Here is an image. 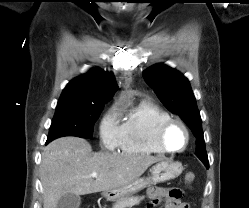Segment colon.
I'll list each match as a JSON object with an SVG mask.
<instances>
[{
  "instance_id": "1",
  "label": "colon",
  "mask_w": 249,
  "mask_h": 208,
  "mask_svg": "<svg viewBox=\"0 0 249 208\" xmlns=\"http://www.w3.org/2000/svg\"><path fill=\"white\" fill-rule=\"evenodd\" d=\"M195 180V175L193 173H189L185 176V182L187 184H191Z\"/></svg>"
}]
</instances>
